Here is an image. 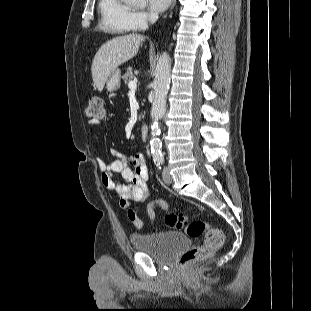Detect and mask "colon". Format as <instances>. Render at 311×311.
Listing matches in <instances>:
<instances>
[{"label": "colon", "mask_w": 311, "mask_h": 311, "mask_svg": "<svg viewBox=\"0 0 311 311\" xmlns=\"http://www.w3.org/2000/svg\"><path fill=\"white\" fill-rule=\"evenodd\" d=\"M86 116L93 121H100L104 117L103 101L100 97L90 98ZM165 224L174 229H184L187 235L191 238H198L204 235V244L193 247L180 258L181 266H189L195 262L211 257L224 244L225 238L223 232L201 219L190 220L185 215H177L169 213L165 216Z\"/></svg>", "instance_id": "5ec220e1"}]
</instances>
